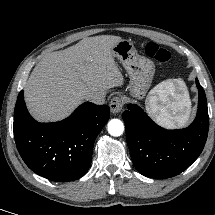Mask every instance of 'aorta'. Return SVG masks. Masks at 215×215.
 <instances>
[{
  "mask_svg": "<svg viewBox=\"0 0 215 215\" xmlns=\"http://www.w3.org/2000/svg\"><path fill=\"white\" fill-rule=\"evenodd\" d=\"M124 125L119 119H112L108 123V132L112 136H120L123 134Z\"/></svg>",
  "mask_w": 215,
  "mask_h": 215,
  "instance_id": "obj_1",
  "label": "aorta"
}]
</instances>
